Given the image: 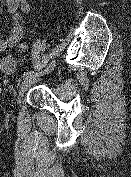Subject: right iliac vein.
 <instances>
[{
	"instance_id": "obj_1",
	"label": "right iliac vein",
	"mask_w": 131,
	"mask_h": 177,
	"mask_svg": "<svg viewBox=\"0 0 131 177\" xmlns=\"http://www.w3.org/2000/svg\"><path fill=\"white\" fill-rule=\"evenodd\" d=\"M51 67H52V65L47 69V71H50ZM38 79H39V74L38 73H34L33 75L25 78L24 81L22 82L20 88H19L18 96L22 97L24 95V93L30 88V86L33 83H35Z\"/></svg>"
}]
</instances>
